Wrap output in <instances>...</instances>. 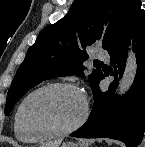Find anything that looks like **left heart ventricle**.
<instances>
[{
	"label": "left heart ventricle",
	"mask_w": 145,
	"mask_h": 147,
	"mask_svg": "<svg viewBox=\"0 0 145 147\" xmlns=\"http://www.w3.org/2000/svg\"><path fill=\"white\" fill-rule=\"evenodd\" d=\"M83 102L70 89H54L34 96L27 104L25 115L31 126L61 130L74 124L81 116Z\"/></svg>",
	"instance_id": "obj_1"
}]
</instances>
